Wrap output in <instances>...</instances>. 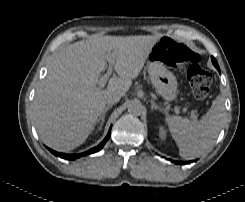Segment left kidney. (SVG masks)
Instances as JSON below:
<instances>
[{
    "mask_svg": "<svg viewBox=\"0 0 245 202\" xmlns=\"http://www.w3.org/2000/svg\"><path fill=\"white\" fill-rule=\"evenodd\" d=\"M159 137L161 138V140L166 139V130L164 129L163 126H160L159 128Z\"/></svg>",
    "mask_w": 245,
    "mask_h": 202,
    "instance_id": "obj_1",
    "label": "left kidney"
}]
</instances>
